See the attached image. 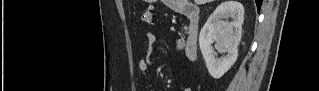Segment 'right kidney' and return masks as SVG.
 <instances>
[{"instance_id":"1","label":"right kidney","mask_w":319,"mask_h":91,"mask_svg":"<svg viewBox=\"0 0 319 91\" xmlns=\"http://www.w3.org/2000/svg\"><path fill=\"white\" fill-rule=\"evenodd\" d=\"M243 20L242 4L237 0H227L215 9L201 29L200 50L209 74L215 79L222 77L237 60ZM213 41L216 42V49L221 53L226 52V56H215L211 46Z\"/></svg>"}]
</instances>
